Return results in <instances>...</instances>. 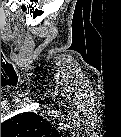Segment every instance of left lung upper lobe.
Listing matches in <instances>:
<instances>
[{"mask_svg":"<svg viewBox=\"0 0 121 137\" xmlns=\"http://www.w3.org/2000/svg\"><path fill=\"white\" fill-rule=\"evenodd\" d=\"M55 131L54 126L45 118L32 112H24L1 124V134L15 136H48Z\"/></svg>","mask_w":121,"mask_h":137,"instance_id":"left-lung-upper-lobe-1","label":"left lung upper lobe"}]
</instances>
